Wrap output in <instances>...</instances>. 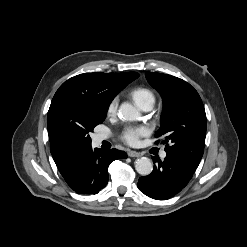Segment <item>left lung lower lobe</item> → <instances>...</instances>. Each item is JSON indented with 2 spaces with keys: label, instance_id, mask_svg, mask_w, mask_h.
Segmentation results:
<instances>
[{
  "label": "left lung lower lobe",
  "instance_id": "left-lung-lower-lobe-1",
  "mask_svg": "<svg viewBox=\"0 0 247 247\" xmlns=\"http://www.w3.org/2000/svg\"><path fill=\"white\" fill-rule=\"evenodd\" d=\"M154 169L151 174L139 178L138 188L145 195L157 199H168L184 188L199 163L189 158L168 154L164 161L153 157Z\"/></svg>",
  "mask_w": 247,
  "mask_h": 247
}]
</instances>
